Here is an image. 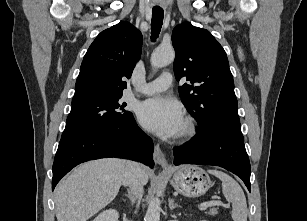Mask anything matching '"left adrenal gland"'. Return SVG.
<instances>
[{"instance_id": "1", "label": "left adrenal gland", "mask_w": 307, "mask_h": 221, "mask_svg": "<svg viewBox=\"0 0 307 221\" xmlns=\"http://www.w3.org/2000/svg\"><path fill=\"white\" fill-rule=\"evenodd\" d=\"M176 207H181L180 205H178L177 203H175L174 202V199H170L169 200V208H170V210H173V209H175Z\"/></svg>"}]
</instances>
